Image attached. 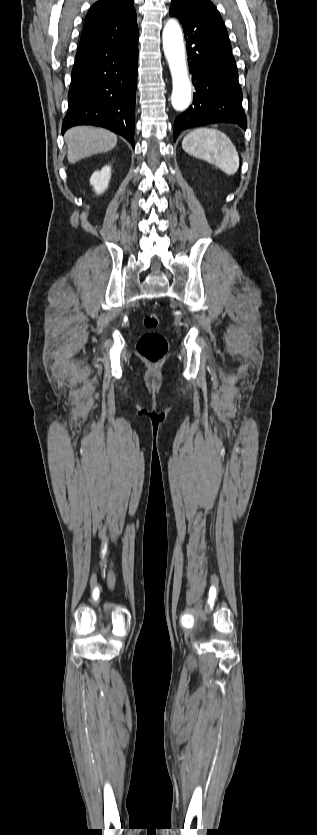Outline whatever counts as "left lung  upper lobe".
<instances>
[{"label": "left lung upper lobe", "mask_w": 317, "mask_h": 835, "mask_svg": "<svg viewBox=\"0 0 317 835\" xmlns=\"http://www.w3.org/2000/svg\"><path fill=\"white\" fill-rule=\"evenodd\" d=\"M170 14L179 18L183 26L189 22L193 14H209L221 18L219 12L209 0H172Z\"/></svg>", "instance_id": "left-lung-upper-lobe-1"}]
</instances>
